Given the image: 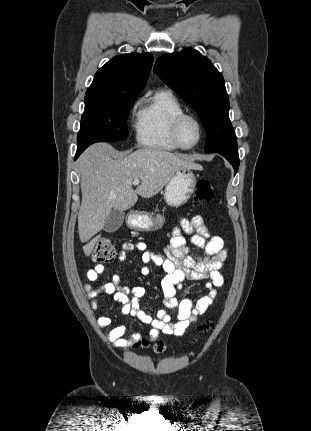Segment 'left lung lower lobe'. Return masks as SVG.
<instances>
[{
    "label": "left lung lower lobe",
    "mask_w": 311,
    "mask_h": 431,
    "mask_svg": "<svg viewBox=\"0 0 311 431\" xmlns=\"http://www.w3.org/2000/svg\"><path fill=\"white\" fill-rule=\"evenodd\" d=\"M217 153L225 157L230 162V164L234 168V174H236V172L238 171L239 162H240L238 151H220Z\"/></svg>",
    "instance_id": "obj_1"
}]
</instances>
